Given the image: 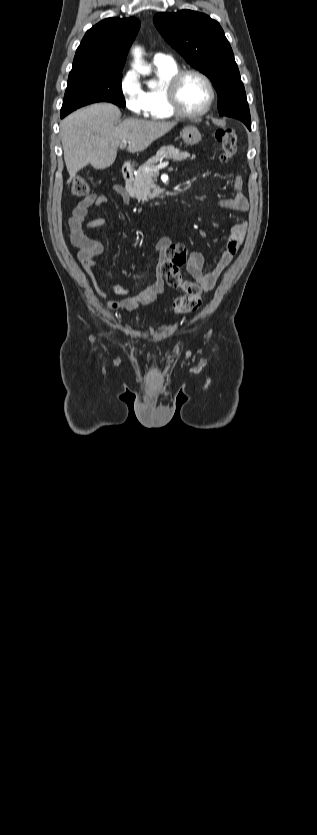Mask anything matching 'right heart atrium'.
<instances>
[{
  "mask_svg": "<svg viewBox=\"0 0 317 835\" xmlns=\"http://www.w3.org/2000/svg\"><path fill=\"white\" fill-rule=\"evenodd\" d=\"M120 91L128 110L137 116L148 114L145 92L133 70L124 73L120 81Z\"/></svg>",
  "mask_w": 317,
  "mask_h": 835,
  "instance_id": "right-heart-atrium-1",
  "label": "right heart atrium"
}]
</instances>
